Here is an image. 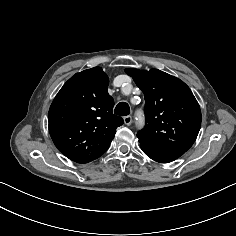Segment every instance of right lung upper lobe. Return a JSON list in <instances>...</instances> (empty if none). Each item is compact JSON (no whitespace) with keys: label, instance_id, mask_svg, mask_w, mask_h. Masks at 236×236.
<instances>
[{"label":"right lung upper lobe","instance_id":"1","mask_svg":"<svg viewBox=\"0 0 236 236\" xmlns=\"http://www.w3.org/2000/svg\"><path fill=\"white\" fill-rule=\"evenodd\" d=\"M108 76L100 67L73 75L54 98L48 114L55 146L70 160L88 163L109 148L123 119L112 113Z\"/></svg>","mask_w":236,"mask_h":236}]
</instances>
